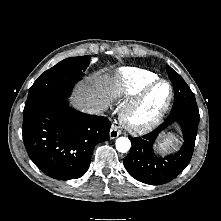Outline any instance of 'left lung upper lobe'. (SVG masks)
I'll list each match as a JSON object with an SVG mask.
<instances>
[{"instance_id":"1","label":"left lung upper lobe","mask_w":221,"mask_h":221,"mask_svg":"<svg viewBox=\"0 0 221 221\" xmlns=\"http://www.w3.org/2000/svg\"><path fill=\"white\" fill-rule=\"evenodd\" d=\"M167 72H168V76H169V79L171 80L172 84L176 83V82L185 83V81L182 79V77L178 73H176L170 66H167ZM192 116L194 118L200 119L198 107H197V110L192 114Z\"/></svg>"}]
</instances>
